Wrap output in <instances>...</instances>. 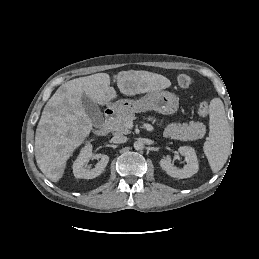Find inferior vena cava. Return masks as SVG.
<instances>
[{
	"label": "inferior vena cava",
	"mask_w": 259,
	"mask_h": 259,
	"mask_svg": "<svg viewBox=\"0 0 259 259\" xmlns=\"http://www.w3.org/2000/svg\"><path fill=\"white\" fill-rule=\"evenodd\" d=\"M127 140H128V138L126 136H123V135H115L112 138V141L114 143H125Z\"/></svg>",
	"instance_id": "obj_1"
}]
</instances>
